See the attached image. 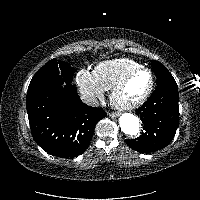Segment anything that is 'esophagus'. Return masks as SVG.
I'll use <instances>...</instances> for the list:
<instances>
[{
    "label": "esophagus",
    "instance_id": "34e87169",
    "mask_svg": "<svg viewBox=\"0 0 200 200\" xmlns=\"http://www.w3.org/2000/svg\"><path fill=\"white\" fill-rule=\"evenodd\" d=\"M109 116L112 117V118H115V117H118L119 114L115 113V112H111V113H109Z\"/></svg>",
    "mask_w": 200,
    "mask_h": 200
}]
</instances>
